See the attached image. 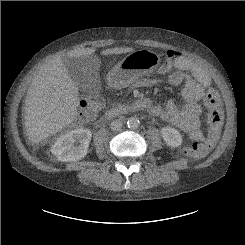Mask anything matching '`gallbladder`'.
<instances>
[{
  "instance_id": "obj_1",
  "label": "gallbladder",
  "mask_w": 245,
  "mask_h": 245,
  "mask_svg": "<svg viewBox=\"0 0 245 245\" xmlns=\"http://www.w3.org/2000/svg\"><path fill=\"white\" fill-rule=\"evenodd\" d=\"M65 64L70 77L82 91H89L100 84L97 70L88 64L86 57L70 58Z\"/></svg>"
}]
</instances>
